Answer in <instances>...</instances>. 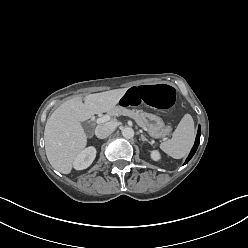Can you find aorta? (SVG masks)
<instances>
[{
  "mask_svg": "<svg viewBox=\"0 0 248 248\" xmlns=\"http://www.w3.org/2000/svg\"><path fill=\"white\" fill-rule=\"evenodd\" d=\"M122 135L126 139H130L134 137V130L131 127H124L122 129Z\"/></svg>",
  "mask_w": 248,
  "mask_h": 248,
  "instance_id": "1",
  "label": "aorta"
}]
</instances>
